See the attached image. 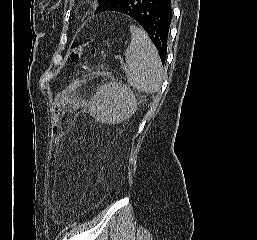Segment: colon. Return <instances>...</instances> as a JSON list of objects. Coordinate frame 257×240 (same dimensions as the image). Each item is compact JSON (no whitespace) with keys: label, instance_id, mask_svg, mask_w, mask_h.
I'll return each mask as SVG.
<instances>
[{"label":"colon","instance_id":"colon-1","mask_svg":"<svg viewBox=\"0 0 257 240\" xmlns=\"http://www.w3.org/2000/svg\"><path fill=\"white\" fill-rule=\"evenodd\" d=\"M85 52V45L80 42H76L72 44L71 47V60L74 62H78L81 60L83 54ZM103 53V49L99 48H92L90 54L93 56L97 53ZM61 116H62V108L60 99L57 97L53 103V110H52V135L56 136L61 128Z\"/></svg>","mask_w":257,"mask_h":240}]
</instances>
